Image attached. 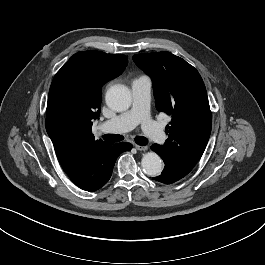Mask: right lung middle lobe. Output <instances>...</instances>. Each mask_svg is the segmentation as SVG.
I'll list each match as a JSON object with an SVG mask.
<instances>
[{
	"label": "right lung middle lobe",
	"instance_id": "right-lung-middle-lobe-1",
	"mask_svg": "<svg viewBox=\"0 0 265 265\" xmlns=\"http://www.w3.org/2000/svg\"><path fill=\"white\" fill-rule=\"evenodd\" d=\"M50 100L57 109L70 106L76 99V92L71 86L66 73H57L51 84Z\"/></svg>",
	"mask_w": 265,
	"mask_h": 265
}]
</instances>
